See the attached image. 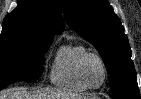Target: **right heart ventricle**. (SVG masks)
Listing matches in <instances>:
<instances>
[{"label":"right heart ventricle","mask_w":141,"mask_h":99,"mask_svg":"<svg viewBox=\"0 0 141 99\" xmlns=\"http://www.w3.org/2000/svg\"><path fill=\"white\" fill-rule=\"evenodd\" d=\"M87 49L79 43L64 44L57 50L51 65L49 78L57 87L75 93L89 88L79 78L78 65Z\"/></svg>","instance_id":"e07e8e85"}]
</instances>
